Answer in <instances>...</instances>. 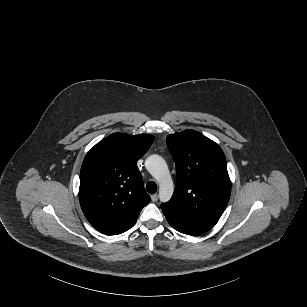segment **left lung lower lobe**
I'll return each mask as SVG.
<instances>
[{
	"label": "left lung lower lobe",
	"mask_w": 307,
	"mask_h": 307,
	"mask_svg": "<svg viewBox=\"0 0 307 307\" xmlns=\"http://www.w3.org/2000/svg\"><path fill=\"white\" fill-rule=\"evenodd\" d=\"M167 221L169 222V224L176 229L177 231L184 233V234H188V235H199L201 233H204L200 230L191 228L185 224H183L182 222L176 220L173 218L172 214L168 211L162 210Z\"/></svg>",
	"instance_id": "obj_1"
}]
</instances>
